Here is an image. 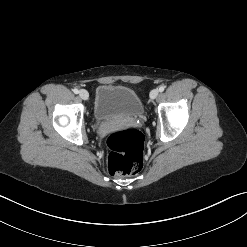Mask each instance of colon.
<instances>
[{"mask_svg": "<svg viewBox=\"0 0 247 247\" xmlns=\"http://www.w3.org/2000/svg\"><path fill=\"white\" fill-rule=\"evenodd\" d=\"M143 134L133 128L111 132L106 138L109 150L107 167L111 175H135L143 167Z\"/></svg>", "mask_w": 247, "mask_h": 247, "instance_id": "colon-1", "label": "colon"}]
</instances>
